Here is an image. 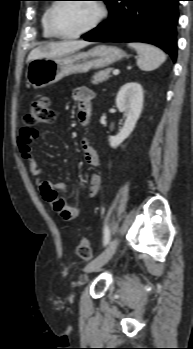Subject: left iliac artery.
Here are the masks:
<instances>
[{
    "label": "left iliac artery",
    "instance_id": "obj_1",
    "mask_svg": "<svg viewBox=\"0 0 193 349\" xmlns=\"http://www.w3.org/2000/svg\"><path fill=\"white\" fill-rule=\"evenodd\" d=\"M109 240H110V230H109L108 226H105L104 237H103L104 246H106L109 243Z\"/></svg>",
    "mask_w": 193,
    "mask_h": 349
}]
</instances>
